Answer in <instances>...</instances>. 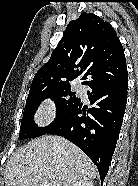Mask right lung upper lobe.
I'll return each instance as SVG.
<instances>
[{
    "label": "right lung upper lobe",
    "instance_id": "obj_1",
    "mask_svg": "<svg viewBox=\"0 0 138 186\" xmlns=\"http://www.w3.org/2000/svg\"><path fill=\"white\" fill-rule=\"evenodd\" d=\"M119 82L127 78L124 50L113 27L93 13L70 21L50 60L36 73L29 93L70 85Z\"/></svg>",
    "mask_w": 138,
    "mask_h": 186
}]
</instances>
